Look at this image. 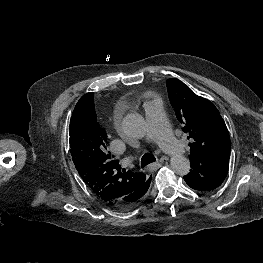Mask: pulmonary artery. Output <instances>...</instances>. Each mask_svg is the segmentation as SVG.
<instances>
[{"label": "pulmonary artery", "instance_id": "obj_1", "mask_svg": "<svg viewBox=\"0 0 263 263\" xmlns=\"http://www.w3.org/2000/svg\"><path fill=\"white\" fill-rule=\"evenodd\" d=\"M144 109L147 120V139L156 140L161 148L171 155L182 153L183 147L169 128L162 103L159 100H153L147 102Z\"/></svg>", "mask_w": 263, "mask_h": 263}]
</instances>
